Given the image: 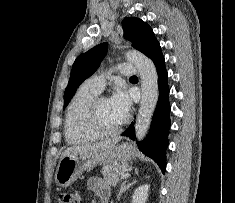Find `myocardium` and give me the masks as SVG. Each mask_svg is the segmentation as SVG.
I'll return each instance as SVG.
<instances>
[{
  "label": "myocardium",
  "instance_id": "myocardium-1",
  "mask_svg": "<svg viewBox=\"0 0 235 203\" xmlns=\"http://www.w3.org/2000/svg\"><path fill=\"white\" fill-rule=\"evenodd\" d=\"M106 99L105 96H96L90 103L87 114V122L91 131L96 134L98 137H110L117 135L126 125L127 119L125 118L120 125L114 129L104 128L99 120V104L100 102Z\"/></svg>",
  "mask_w": 235,
  "mask_h": 203
}]
</instances>
